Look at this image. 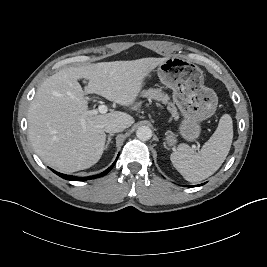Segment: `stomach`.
<instances>
[{"label":"stomach","instance_id":"obj_1","mask_svg":"<svg viewBox=\"0 0 267 267\" xmlns=\"http://www.w3.org/2000/svg\"><path fill=\"white\" fill-rule=\"evenodd\" d=\"M160 81L173 91V101L178 106L183 120L178 134L187 141L196 140L200 133V123L210 118L216 111V93L204 86L203 71L195 64L180 57L167 58L158 66ZM149 72L145 78H150ZM165 142L173 146L176 134L167 132Z\"/></svg>","mask_w":267,"mask_h":267}]
</instances>
